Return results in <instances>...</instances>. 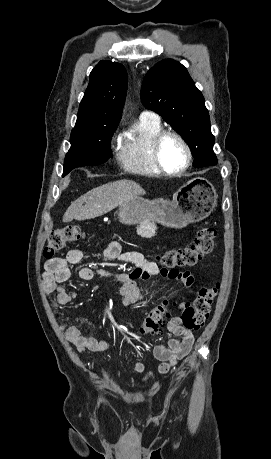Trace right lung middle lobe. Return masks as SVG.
<instances>
[{
  "instance_id": "obj_1",
  "label": "right lung middle lobe",
  "mask_w": 271,
  "mask_h": 459,
  "mask_svg": "<svg viewBox=\"0 0 271 459\" xmlns=\"http://www.w3.org/2000/svg\"><path fill=\"white\" fill-rule=\"evenodd\" d=\"M120 119L81 118L71 132V148L66 154L63 176L80 166H94L112 157L111 137Z\"/></svg>"
}]
</instances>
